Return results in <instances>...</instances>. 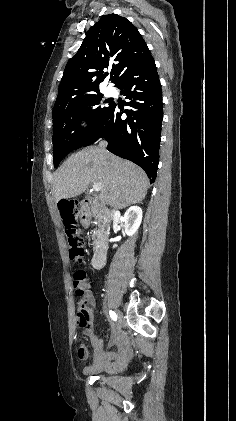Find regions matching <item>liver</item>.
Masks as SVG:
<instances>
[{"label":"liver","mask_w":236,"mask_h":421,"mask_svg":"<svg viewBox=\"0 0 236 421\" xmlns=\"http://www.w3.org/2000/svg\"><path fill=\"white\" fill-rule=\"evenodd\" d=\"M90 182H100L102 204H110L114 208H125L140 202L150 184L146 172L134 162L103 152L98 146H89L71 154L53 172L56 202L60 198L81 194Z\"/></svg>","instance_id":"1"}]
</instances>
